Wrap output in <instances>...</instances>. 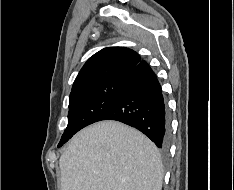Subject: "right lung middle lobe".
Segmentation results:
<instances>
[{
    "label": "right lung middle lobe",
    "mask_w": 234,
    "mask_h": 190,
    "mask_svg": "<svg viewBox=\"0 0 234 190\" xmlns=\"http://www.w3.org/2000/svg\"><path fill=\"white\" fill-rule=\"evenodd\" d=\"M123 81L122 78L116 79L70 94L68 126L58 147L82 128L99 121L115 102Z\"/></svg>",
    "instance_id": "1"
}]
</instances>
